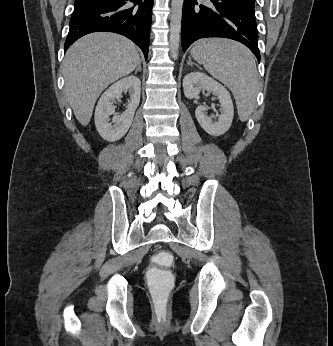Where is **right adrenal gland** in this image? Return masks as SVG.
<instances>
[{
    "instance_id": "1",
    "label": "right adrenal gland",
    "mask_w": 333,
    "mask_h": 346,
    "mask_svg": "<svg viewBox=\"0 0 333 346\" xmlns=\"http://www.w3.org/2000/svg\"><path fill=\"white\" fill-rule=\"evenodd\" d=\"M138 71H141V63L138 64L136 70H135V74L138 72Z\"/></svg>"
}]
</instances>
